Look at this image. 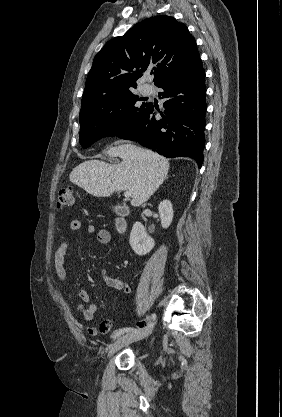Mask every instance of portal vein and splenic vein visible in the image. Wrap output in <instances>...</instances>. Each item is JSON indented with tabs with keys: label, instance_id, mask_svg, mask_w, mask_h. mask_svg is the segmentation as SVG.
Here are the masks:
<instances>
[{
	"label": "portal vein and splenic vein",
	"instance_id": "portal-vein-and-splenic-vein-1",
	"mask_svg": "<svg viewBox=\"0 0 282 417\" xmlns=\"http://www.w3.org/2000/svg\"><path fill=\"white\" fill-rule=\"evenodd\" d=\"M132 192L131 190H125L124 192V196H126V198H128V196H131Z\"/></svg>",
	"mask_w": 282,
	"mask_h": 417
}]
</instances>
